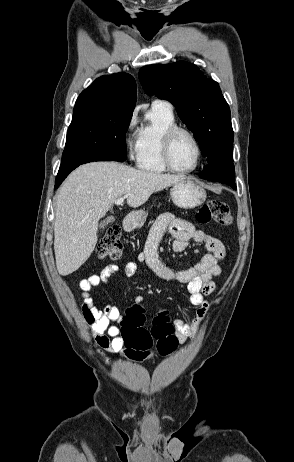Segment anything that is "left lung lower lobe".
<instances>
[{"label":"left lung lower lobe","instance_id":"0a47b994","mask_svg":"<svg viewBox=\"0 0 294 462\" xmlns=\"http://www.w3.org/2000/svg\"><path fill=\"white\" fill-rule=\"evenodd\" d=\"M200 177L207 180L225 183L233 189H237L234 181L233 163L208 164L206 170L200 175Z\"/></svg>","mask_w":294,"mask_h":462}]
</instances>
